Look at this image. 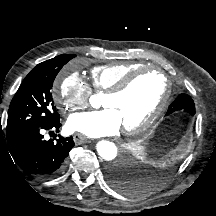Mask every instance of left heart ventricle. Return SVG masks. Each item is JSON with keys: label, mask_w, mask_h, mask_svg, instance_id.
<instances>
[{"label": "left heart ventricle", "mask_w": 216, "mask_h": 216, "mask_svg": "<svg viewBox=\"0 0 216 216\" xmlns=\"http://www.w3.org/2000/svg\"><path fill=\"white\" fill-rule=\"evenodd\" d=\"M164 91L163 77L156 71H148L138 76L123 94L103 97L102 104L116 112L123 128L132 127L156 108Z\"/></svg>", "instance_id": "b2bd125f"}]
</instances>
